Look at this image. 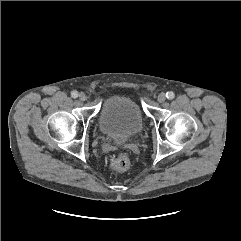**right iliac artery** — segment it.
Wrapping results in <instances>:
<instances>
[{
    "instance_id": "obj_1",
    "label": "right iliac artery",
    "mask_w": 241,
    "mask_h": 241,
    "mask_svg": "<svg viewBox=\"0 0 241 241\" xmlns=\"http://www.w3.org/2000/svg\"><path fill=\"white\" fill-rule=\"evenodd\" d=\"M71 96H72L73 98H77V97H78V92H77V91H72V92H71Z\"/></svg>"
}]
</instances>
